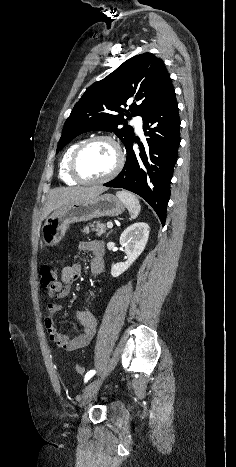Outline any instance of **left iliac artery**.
<instances>
[{
    "label": "left iliac artery",
    "instance_id": "obj_1",
    "mask_svg": "<svg viewBox=\"0 0 236 467\" xmlns=\"http://www.w3.org/2000/svg\"><path fill=\"white\" fill-rule=\"evenodd\" d=\"M95 373H96L95 370H90V371H88V372L86 373V375H85L84 382H85V383L88 382V380H89L91 377H93Z\"/></svg>",
    "mask_w": 236,
    "mask_h": 467
}]
</instances>
